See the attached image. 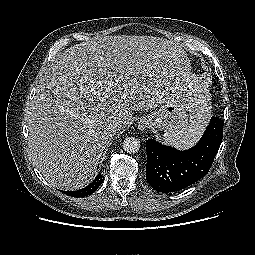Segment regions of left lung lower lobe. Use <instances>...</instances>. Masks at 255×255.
Segmentation results:
<instances>
[{"label": "left lung lower lobe", "instance_id": "0a47b994", "mask_svg": "<svg viewBox=\"0 0 255 255\" xmlns=\"http://www.w3.org/2000/svg\"><path fill=\"white\" fill-rule=\"evenodd\" d=\"M223 125V120L212 117L200 141L185 151L149 139L146 179L151 187L158 192H175L204 177L221 145Z\"/></svg>", "mask_w": 255, "mask_h": 255}]
</instances>
